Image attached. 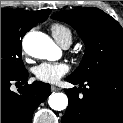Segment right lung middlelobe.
I'll use <instances>...</instances> for the list:
<instances>
[{
    "label": "right lung middle lobe",
    "instance_id": "right-lung-middle-lobe-1",
    "mask_svg": "<svg viewBox=\"0 0 123 123\" xmlns=\"http://www.w3.org/2000/svg\"><path fill=\"white\" fill-rule=\"evenodd\" d=\"M38 22L21 19L11 9H1V77L23 74L21 39Z\"/></svg>",
    "mask_w": 123,
    "mask_h": 123
}]
</instances>
